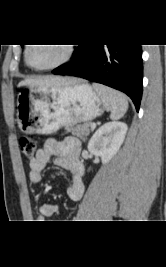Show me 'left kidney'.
I'll list each match as a JSON object with an SVG mask.
<instances>
[{"mask_svg":"<svg viewBox=\"0 0 166 267\" xmlns=\"http://www.w3.org/2000/svg\"><path fill=\"white\" fill-rule=\"evenodd\" d=\"M128 127L123 122H109L101 126L91 137L88 150L108 163L124 142Z\"/></svg>","mask_w":166,"mask_h":267,"instance_id":"obj_1","label":"left kidney"}]
</instances>
